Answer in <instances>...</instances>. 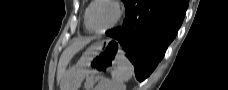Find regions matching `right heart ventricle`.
<instances>
[{"label":"right heart ventricle","mask_w":228,"mask_h":90,"mask_svg":"<svg viewBox=\"0 0 228 90\" xmlns=\"http://www.w3.org/2000/svg\"><path fill=\"white\" fill-rule=\"evenodd\" d=\"M88 7H89V6H88ZM88 7H87V8H88ZM87 8H86V10H85V14H86Z\"/></svg>","instance_id":"1"}]
</instances>
